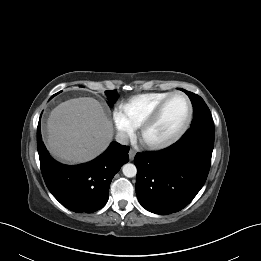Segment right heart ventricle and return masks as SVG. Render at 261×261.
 Wrapping results in <instances>:
<instances>
[{
  "mask_svg": "<svg viewBox=\"0 0 261 261\" xmlns=\"http://www.w3.org/2000/svg\"><path fill=\"white\" fill-rule=\"evenodd\" d=\"M169 93L151 92L133 96L120 105V111L134 129L139 128L156 105Z\"/></svg>",
  "mask_w": 261,
  "mask_h": 261,
  "instance_id": "e07e8e85",
  "label": "right heart ventricle"
}]
</instances>
